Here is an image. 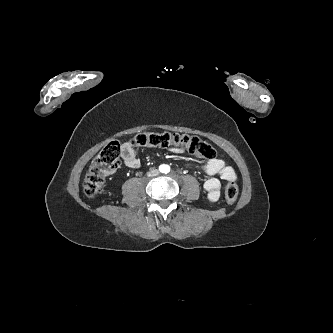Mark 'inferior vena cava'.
<instances>
[{
	"label": "inferior vena cava",
	"instance_id": "1",
	"mask_svg": "<svg viewBox=\"0 0 333 333\" xmlns=\"http://www.w3.org/2000/svg\"><path fill=\"white\" fill-rule=\"evenodd\" d=\"M159 174V170L158 169H153V170H151V171H149L148 173H147V175L149 176V177H154V176H157Z\"/></svg>",
	"mask_w": 333,
	"mask_h": 333
}]
</instances>
